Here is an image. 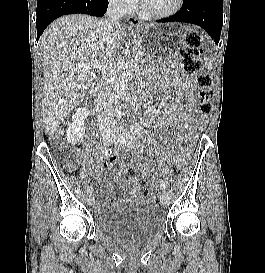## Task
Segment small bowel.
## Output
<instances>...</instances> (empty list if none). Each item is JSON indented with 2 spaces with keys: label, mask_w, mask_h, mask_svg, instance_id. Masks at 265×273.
<instances>
[{
  "label": "small bowel",
  "mask_w": 265,
  "mask_h": 273,
  "mask_svg": "<svg viewBox=\"0 0 265 273\" xmlns=\"http://www.w3.org/2000/svg\"><path fill=\"white\" fill-rule=\"evenodd\" d=\"M179 124V119L178 118H173L171 119L168 123H167V127L170 128H174L176 126H178ZM117 164V159L114 157H109L106 158L103 161L102 166L97 167L96 171L97 173H103L104 170L106 171V174H110L111 171L113 170V168L116 166ZM126 184L131 186L132 191H133V196L136 199L140 198V193H139V180L137 177H131L126 181ZM99 208V206L97 207Z\"/></svg>",
  "instance_id": "obj_1"
}]
</instances>
